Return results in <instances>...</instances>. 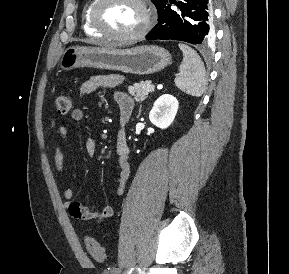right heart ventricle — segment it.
Wrapping results in <instances>:
<instances>
[{"mask_svg":"<svg viewBox=\"0 0 289 274\" xmlns=\"http://www.w3.org/2000/svg\"><path fill=\"white\" fill-rule=\"evenodd\" d=\"M95 3V0H90L84 7L83 14H82V27L84 32L93 37H101L102 34H100L91 24L90 20V13L91 8L93 4Z\"/></svg>","mask_w":289,"mask_h":274,"instance_id":"e07e8e85","label":"right heart ventricle"}]
</instances>
